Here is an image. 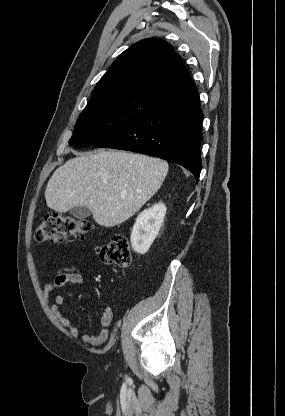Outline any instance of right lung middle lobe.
<instances>
[{
    "instance_id": "1",
    "label": "right lung middle lobe",
    "mask_w": 285,
    "mask_h": 416,
    "mask_svg": "<svg viewBox=\"0 0 285 416\" xmlns=\"http://www.w3.org/2000/svg\"><path fill=\"white\" fill-rule=\"evenodd\" d=\"M160 105L138 96L104 101L85 107L69 144L83 147L101 141L137 122Z\"/></svg>"
}]
</instances>
